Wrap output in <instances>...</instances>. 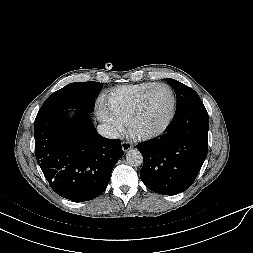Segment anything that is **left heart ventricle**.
Instances as JSON below:
<instances>
[{
  "mask_svg": "<svg viewBox=\"0 0 253 253\" xmlns=\"http://www.w3.org/2000/svg\"><path fill=\"white\" fill-rule=\"evenodd\" d=\"M172 110V96L168 88L159 86L153 89L135 123L138 131H151L160 128L169 118Z\"/></svg>",
  "mask_w": 253,
  "mask_h": 253,
  "instance_id": "b2bd125f",
  "label": "left heart ventricle"
}]
</instances>
